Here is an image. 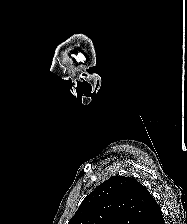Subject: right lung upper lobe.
I'll use <instances>...</instances> for the list:
<instances>
[{"label":"right lung upper lobe","instance_id":"cb5924a9","mask_svg":"<svg viewBox=\"0 0 187 224\" xmlns=\"http://www.w3.org/2000/svg\"><path fill=\"white\" fill-rule=\"evenodd\" d=\"M68 224H165L159 205L134 178L114 176L97 186Z\"/></svg>","mask_w":187,"mask_h":224}]
</instances>
